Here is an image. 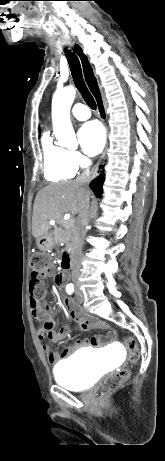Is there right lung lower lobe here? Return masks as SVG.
I'll list each match as a JSON object with an SVG mask.
<instances>
[{
	"label": "right lung lower lobe",
	"mask_w": 165,
	"mask_h": 461,
	"mask_svg": "<svg viewBox=\"0 0 165 461\" xmlns=\"http://www.w3.org/2000/svg\"><path fill=\"white\" fill-rule=\"evenodd\" d=\"M103 181H104V178L100 174V176L95 178L94 181L90 183V188L92 189V191L97 197H100L102 195Z\"/></svg>",
	"instance_id": "right-lung-lower-lobe-1"
}]
</instances>
